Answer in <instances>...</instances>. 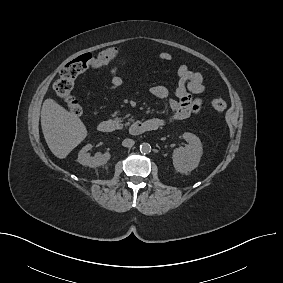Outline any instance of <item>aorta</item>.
<instances>
[{
    "mask_svg": "<svg viewBox=\"0 0 283 283\" xmlns=\"http://www.w3.org/2000/svg\"><path fill=\"white\" fill-rule=\"evenodd\" d=\"M140 152L143 154H148L151 151V145L147 142H143L139 146Z\"/></svg>",
    "mask_w": 283,
    "mask_h": 283,
    "instance_id": "aorta-1",
    "label": "aorta"
}]
</instances>
